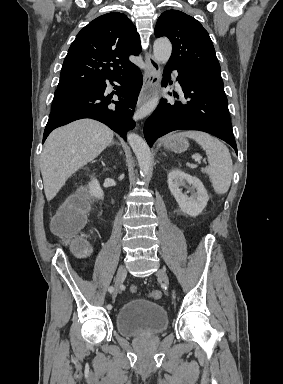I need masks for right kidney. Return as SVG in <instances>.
I'll list each match as a JSON object with an SVG mask.
<instances>
[{"mask_svg":"<svg viewBox=\"0 0 283 384\" xmlns=\"http://www.w3.org/2000/svg\"><path fill=\"white\" fill-rule=\"evenodd\" d=\"M89 188H90L91 196H95V198H99V200H102L103 190L102 188H100V184L98 180H95V178H92L91 182H89Z\"/></svg>","mask_w":283,"mask_h":384,"instance_id":"1","label":"right kidney"}]
</instances>
